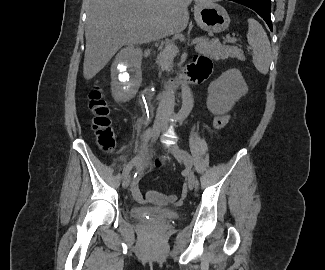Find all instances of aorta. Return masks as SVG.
<instances>
[{
    "instance_id": "obj_1",
    "label": "aorta",
    "mask_w": 325,
    "mask_h": 270,
    "mask_svg": "<svg viewBox=\"0 0 325 270\" xmlns=\"http://www.w3.org/2000/svg\"><path fill=\"white\" fill-rule=\"evenodd\" d=\"M182 107L179 111V116L184 118L189 115L193 108V96L190 87L186 83L181 85Z\"/></svg>"
}]
</instances>
